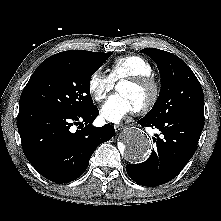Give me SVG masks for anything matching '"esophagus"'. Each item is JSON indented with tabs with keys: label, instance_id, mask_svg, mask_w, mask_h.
<instances>
[{
	"label": "esophagus",
	"instance_id": "esophagus-1",
	"mask_svg": "<svg viewBox=\"0 0 221 221\" xmlns=\"http://www.w3.org/2000/svg\"><path fill=\"white\" fill-rule=\"evenodd\" d=\"M114 128H115V131L118 132V131L123 130L125 128V126L122 124H117L114 126Z\"/></svg>",
	"mask_w": 221,
	"mask_h": 221
}]
</instances>
